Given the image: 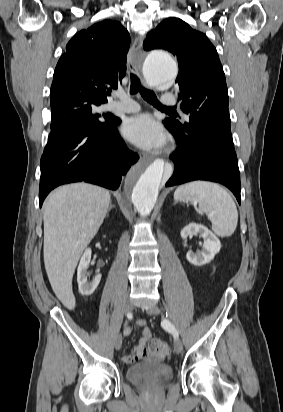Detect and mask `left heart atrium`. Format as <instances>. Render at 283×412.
Wrapping results in <instances>:
<instances>
[{
  "mask_svg": "<svg viewBox=\"0 0 283 412\" xmlns=\"http://www.w3.org/2000/svg\"><path fill=\"white\" fill-rule=\"evenodd\" d=\"M122 131L126 139L145 150L159 149L166 142L163 127L149 114L129 118L125 121Z\"/></svg>",
  "mask_w": 283,
  "mask_h": 412,
  "instance_id": "obj_1",
  "label": "left heart atrium"
}]
</instances>
